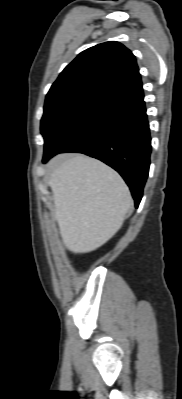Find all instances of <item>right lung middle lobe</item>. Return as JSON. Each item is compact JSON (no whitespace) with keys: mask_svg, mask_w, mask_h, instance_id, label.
Wrapping results in <instances>:
<instances>
[{"mask_svg":"<svg viewBox=\"0 0 182 399\" xmlns=\"http://www.w3.org/2000/svg\"><path fill=\"white\" fill-rule=\"evenodd\" d=\"M105 101L87 94H69L46 99L41 119L44 151L52 146L63 131Z\"/></svg>","mask_w":182,"mask_h":399,"instance_id":"obj_1","label":"right lung middle lobe"}]
</instances>
